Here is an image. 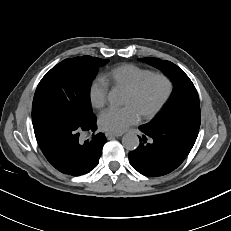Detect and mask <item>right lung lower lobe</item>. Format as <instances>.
Returning <instances> with one entry per match:
<instances>
[{
	"label": "right lung lower lobe",
	"mask_w": 231,
	"mask_h": 231,
	"mask_svg": "<svg viewBox=\"0 0 231 231\" xmlns=\"http://www.w3.org/2000/svg\"><path fill=\"white\" fill-rule=\"evenodd\" d=\"M36 140L48 162L64 174L79 176L97 166L106 138L94 134L82 141L83 131L95 132L96 119L76 125L67 120L44 119L33 123Z\"/></svg>",
	"instance_id": "obj_1"
}]
</instances>
